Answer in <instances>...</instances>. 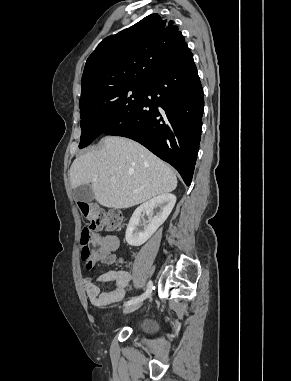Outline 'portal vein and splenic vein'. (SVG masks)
I'll return each mask as SVG.
<instances>
[{
    "mask_svg": "<svg viewBox=\"0 0 291 381\" xmlns=\"http://www.w3.org/2000/svg\"><path fill=\"white\" fill-rule=\"evenodd\" d=\"M111 181H112L113 183H116V180H115L114 178H111Z\"/></svg>",
    "mask_w": 291,
    "mask_h": 381,
    "instance_id": "1",
    "label": "portal vein and splenic vein"
}]
</instances>
